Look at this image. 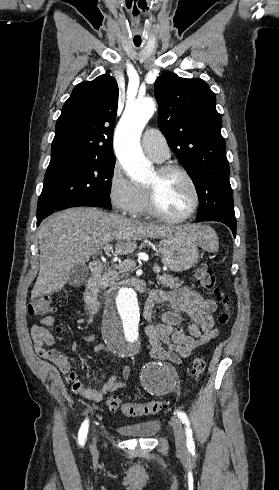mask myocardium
<instances>
[{
    "label": "myocardium",
    "mask_w": 279,
    "mask_h": 490,
    "mask_svg": "<svg viewBox=\"0 0 279 490\" xmlns=\"http://www.w3.org/2000/svg\"><path fill=\"white\" fill-rule=\"evenodd\" d=\"M157 172L159 175H165L168 173H179L182 176H184L192 188L194 199H193L192 206L185 214L181 216H170L161 209L158 203L157 187L155 185H148L147 195H148V209L150 213L153 216L157 217L158 219L169 223L183 222L189 219L190 217H192L200 205L201 196H200L199 187L195 179L193 178V176L190 174V172L179 164L162 165L157 169Z\"/></svg>",
    "instance_id": "obj_1"
}]
</instances>
